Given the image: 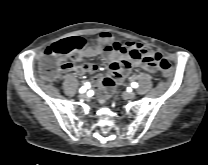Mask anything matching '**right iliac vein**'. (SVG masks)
Wrapping results in <instances>:
<instances>
[{"instance_id": "1", "label": "right iliac vein", "mask_w": 208, "mask_h": 165, "mask_svg": "<svg viewBox=\"0 0 208 165\" xmlns=\"http://www.w3.org/2000/svg\"><path fill=\"white\" fill-rule=\"evenodd\" d=\"M80 97H83V98L86 97V93L85 92L81 93Z\"/></svg>"}]
</instances>
